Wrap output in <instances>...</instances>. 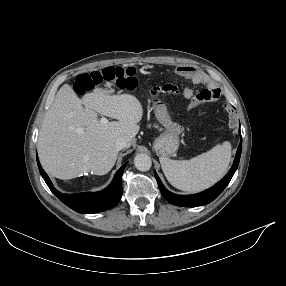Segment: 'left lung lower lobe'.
<instances>
[{"label":"left lung lower lobe","instance_id":"0a47b994","mask_svg":"<svg viewBox=\"0 0 286 286\" xmlns=\"http://www.w3.org/2000/svg\"><path fill=\"white\" fill-rule=\"evenodd\" d=\"M239 131H240V129H239ZM241 149H242V138H241L239 147L237 149V153H236L234 163H233L229 173L220 182H218L214 187H211V188L207 189L206 191H203V192L198 193V194H194V195H177V194H174L165 188V186L161 183V180L158 177V175L156 174V172H154L162 195L164 196V198L168 202H170L174 205H177V206H184V207H197V206H201V205L212 202L225 189V187L228 185L231 178L233 177V175H234V173L238 167V164H239V160H240V156H241Z\"/></svg>","mask_w":286,"mask_h":286}]
</instances>
